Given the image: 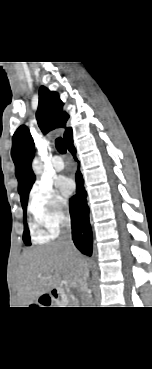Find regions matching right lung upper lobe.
Masks as SVG:
<instances>
[{
  "mask_svg": "<svg viewBox=\"0 0 152 369\" xmlns=\"http://www.w3.org/2000/svg\"><path fill=\"white\" fill-rule=\"evenodd\" d=\"M38 125L42 132L47 133L58 127H66L69 115L63 112V102L56 92H51L44 86L39 91V106L36 113ZM64 139L68 144L72 140V129L66 128ZM13 145L11 156L16 167L18 180V192L21 203L28 199L29 191L35 181V175L31 168L34 157V142L25 125H21L12 138Z\"/></svg>",
  "mask_w": 152,
  "mask_h": 369,
  "instance_id": "right-lung-upper-lobe-1",
  "label": "right lung upper lobe"
}]
</instances>
